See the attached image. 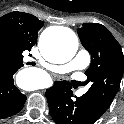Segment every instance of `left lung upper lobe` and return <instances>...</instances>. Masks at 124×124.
I'll return each instance as SVG.
<instances>
[{
    "mask_svg": "<svg viewBox=\"0 0 124 124\" xmlns=\"http://www.w3.org/2000/svg\"><path fill=\"white\" fill-rule=\"evenodd\" d=\"M82 45L91 54V65L85 72L91 86L83 97L100 118L117 94L123 71L124 55L110 31L98 23H84L77 30Z\"/></svg>",
    "mask_w": 124,
    "mask_h": 124,
    "instance_id": "obj_1",
    "label": "left lung upper lobe"
}]
</instances>
